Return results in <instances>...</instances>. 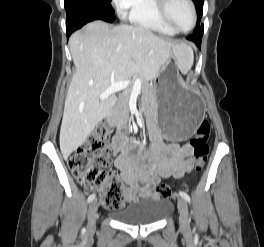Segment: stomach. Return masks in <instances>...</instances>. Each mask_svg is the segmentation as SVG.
<instances>
[{"label": "stomach", "mask_w": 264, "mask_h": 247, "mask_svg": "<svg viewBox=\"0 0 264 247\" xmlns=\"http://www.w3.org/2000/svg\"><path fill=\"white\" fill-rule=\"evenodd\" d=\"M154 86L158 122L167 141H187L204 118L202 94H192L180 82L176 63H165ZM171 75V76H169Z\"/></svg>", "instance_id": "stomach-1"}]
</instances>
